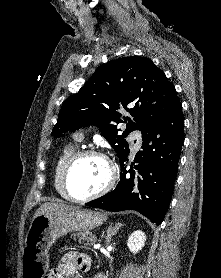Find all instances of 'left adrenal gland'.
Here are the masks:
<instances>
[{"instance_id":"1","label":"left adrenal gland","mask_w":221,"mask_h":278,"mask_svg":"<svg viewBox=\"0 0 221 278\" xmlns=\"http://www.w3.org/2000/svg\"><path fill=\"white\" fill-rule=\"evenodd\" d=\"M122 224H116L114 227L111 225L108 227L107 231H106V236H105V240H106V245H108L111 241V237L113 235H116V233L119 231V229L122 227Z\"/></svg>"}]
</instances>
